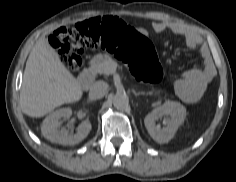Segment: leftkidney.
Segmentation results:
<instances>
[{
    "mask_svg": "<svg viewBox=\"0 0 236 182\" xmlns=\"http://www.w3.org/2000/svg\"><path fill=\"white\" fill-rule=\"evenodd\" d=\"M163 116H167L164 120L165 127L160 128L156 121ZM186 117V108L179 102L166 101L163 105L156 107L148 113L144 119L146 129L150 136L156 142L162 144L172 139L177 129L184 122Z\"/></svg>",
    "mask_w": 236,
    "mask_h": 182,
    "instance_id": "left-kidney-1",
    "label": "left kidney"
}]
</instances>
